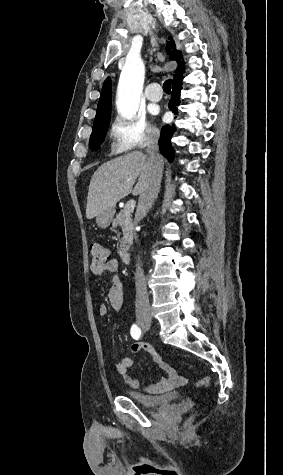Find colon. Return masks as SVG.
Segmentation results:
<instances>
[{"instance_id":"5ec220e1","label":"colon","mask_w":283,"mask_h":475,"mask_svg":"<svg viewBox=\"0 0 283 475\" xmlns=\"http://www.w3.org/2000/svg\"><path fill=\"white\" fill-rule=\"evenodd\" d=\"M90 255L95 269L105 266L112 260V251L98 242L91 244Z\"/></svg>"}]
</instances>
